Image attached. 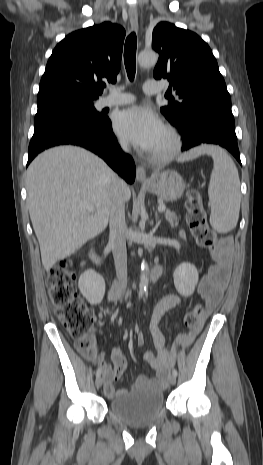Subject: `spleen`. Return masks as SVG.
<instances>
[{
    "label": "spleen",
    "instance_id": "3e777b00",
    "mask_svg": "<svg viewBox=\"0 0 263 465\" xmlns=\"http://www.w3.org/2000/svg\"><path fill=\"white\" fill-rule=\"evenodd\" d=\"M202 154L211 155L213 170L208 195L211 206L210 224L219 233H227L237 225L240 211V180L238 170L229 155L220 147L202 145L181 156L190 160Z\"/></svg>",
    "mask_w": 263,
    "mask_h": 465
}]
</instances>
